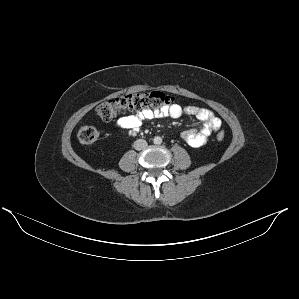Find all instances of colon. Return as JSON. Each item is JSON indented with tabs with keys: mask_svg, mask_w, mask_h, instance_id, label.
I'll list each match as a JSON object with an SVG mask.
<instances>
[{
	"mask_svg": "<svg viewBox=\"0 0 299 299\" xmlns=\"http://www.w3.org/2000/svg\"><path fill=\"white\" fill-rule=\"evenodd\" d=\"M171 103L172 97L160 91L129 94L101 102L95 108V115L101 120L109 121L124 112L162 109ZM101 136V129L94 125L82 126L77 133L78 140L83 145L93 144ZM216 138L222 141L225 138L224 132H218Z\"/></svg>",
	"mask_w": 299,
	"mask_h": 299,
	"instance_id": "colon-1",
	"label": "colon"
}]
</instances>
